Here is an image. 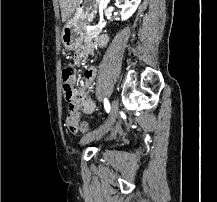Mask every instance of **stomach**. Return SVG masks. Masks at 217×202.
I'll return each instance as SVG.
<instances>
[{
    "mask_svg": "<svg viewBox=\"0 0 217 202\" xmlns=\"http://www.w3.org/2000/svg\"><path fill=\"white\" fill-rule=\"evenodd\" d=\"M98 0H79L74 16L65 24L61 42L68 52L77 50L85 40L86 24L93 22L97 14Z\"/></svg>",
    "mask_w": 217,
    "mask_h": 202,
    "instance_id": "0dacf381",
    "label": "stomach"
}]
</instances>
